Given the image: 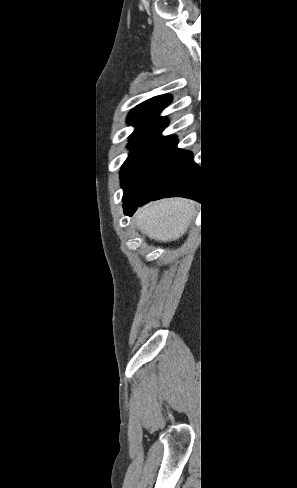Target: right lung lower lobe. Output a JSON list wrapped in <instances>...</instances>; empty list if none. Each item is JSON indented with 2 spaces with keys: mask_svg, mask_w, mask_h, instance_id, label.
<instances>
[{
  "mask_svg": "<svg viewBox=\"0 0 297 488\" xmlns=\"http://www.w3.org/2000/svg\"><path fill=\"white\" fill-rule=\"evenodd\" d=\"M176 146L174 139L123 198L126 215L131 216L138 205L164 197L182 196L197 201L203 197L200 169L194 163L193 154Z\"/></svg>",
  "mask_w": 297,
  "mask_h": 488,
  "instance_id": "right-lung-lower-lobe-1",
  "label": "right lung lower lobe"
}]
</instances>
